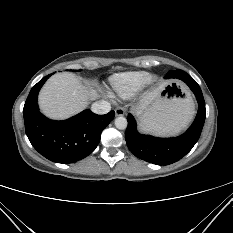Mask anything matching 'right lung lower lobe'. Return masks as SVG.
<instances>
[{
  "label": "right lung lower lobe",
  "mask_w": 233,
  "mask_h": 233,
  "mask_svg": "<svg viewBox=\"0 0 233 233\" xmlns=\"http://www.w3.org/2000/svg\"><path fill=\"white\" fill-rule=\"evenodd\" d=\"M51 75L40 80L29 93L23 109L25 130L32 146L41 155L56 163H73L95 150L102 130L115 113L97 115L85 110L64 121L46 118L39 112L37 96Z\"/></svg>",
  "instance_id": "obj_1"
}]
</instances>
